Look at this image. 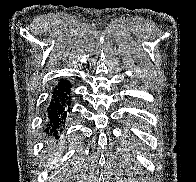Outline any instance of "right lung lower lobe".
Here are the masks:
<instances>
[{"label": "right lung lower lobe", "instance_id": "98d812e1", "mask_svg": "<svg viewBox=\"0 0 196 182\" xmlns=\"http://www.w3.org/2000/svg\"><path fill=\"white\" fill-rule=\"evenodd\" d=\"M72 84L62 79L54 89L51 101L46 109V124L44 132L51 138L57 139L70 114L72 103Z\"/></svg>", "mask_w": 196, "mask_h": 182}]
</instances>
